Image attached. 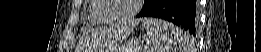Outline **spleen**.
I'll return each instance as SVG.
<instances>
[{"mask_svg":"<svg viewBox=\"0 0 261 52\" xmlns=\"http://www.w3.org/2000/svg\"><path fill=\"white\" fill-rule=\"evenodd\" d=\"M142 22L147 31L146 52H194L191 37L173 24L152 18Z\"/></svg>","mask_w":261,"mask_h":52,"instance_id":"3e777b00","label":"spleen"}]
</instances>
